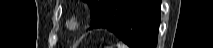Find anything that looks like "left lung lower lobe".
Instances as JSON below:
<instances>
[{
	"instance_id": "left-lung-lower-lobe-1",
	"label": "left lung lower lobe",
	"mask_w": 213,
	"mask_h": 48,
	"mask_svg": "<svg viewBox=\"0 0 213 48\" xmlns=\"http://www.w3.org/2000/svg\"><path fill=\"white\" fill-rule=\"evenodd\" d=\"M161 0H110L90 29L113 32L131 48H156Z\"/></svg>"
}]
</instances>
